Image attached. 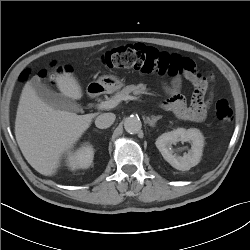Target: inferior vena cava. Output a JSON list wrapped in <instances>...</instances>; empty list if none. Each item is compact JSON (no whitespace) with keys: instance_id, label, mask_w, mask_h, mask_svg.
I'll list each match as a JSON object with an SVG mask.
<instances>
[{"instance_id":"obj_1","label":"inferior vena cava","mask_w":250,"mask_h":250,"mask_svg":"<svg viewBox=\"0 0 250 250\" xmlns=\"http://www.w3.org/2000/svg\"><path fill=\"white\" fill-rule=\"evenodd\" d=\"M115 118L113 113H103L96 118L95 125L99 129H106L114 123Z\"/></svg>"}]
</instances>
